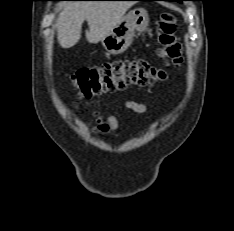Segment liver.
Wrapping results in <instances>:
<instances>
[{
    "label": "liver",
    "instance_id": "obj_1",
    "mask_svg": "<svg viewBox=\"0 0 234 231\" xmlns=\"http://www.w3.org/2000/svg\"><path fill=\"white\" fill-rule=\"evenodd\" d=\"M132 5V1H78L64 5L57 18L58 43L62 48L78 43L85 20L89 26L87 41H101Z\"/></svg>",
    "mask_w": 234,
    "mask_h": 231
}]
</instances>
